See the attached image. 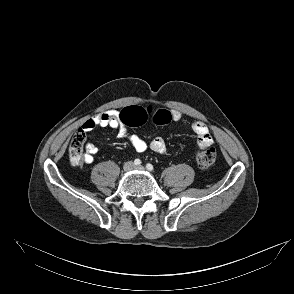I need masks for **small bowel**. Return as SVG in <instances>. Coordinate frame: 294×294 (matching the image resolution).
<instances>
[{"label":"small bowel","instance_id":"1","mask_svg":"<svg viewBox=\"0 0 294 294\" xmlns=\"http://www.w3.org/2000/svg\"><path fill=\"white\" fill-rule=\"evenodd\" d=\"M170 112L172 115L171 121L175 123H180L182 121L183 115L179 110H171ZM96 127H109L116 130L118 137L127 139L137 152H144L147 149L158 154H165L167 152V146L162 137H154L150 142H146L138 135L128 133L125 125L120 120L119 110L111 109L91 117L82 125V131H91ZM191 128L198 136L197 147L199 149L211 146L213 140L209 128L204 122L196 121L192 124ZM97 152V147L92 143H88L84 161L86 163H92Z\"/></svg>","mask_w":294,"mask_h":294}]
</instances>
